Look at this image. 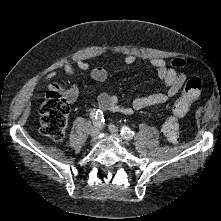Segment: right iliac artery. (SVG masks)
Instances as JSON below:
<instances>
[{
  "label": "right iliac artery",
  "mask_w": 221,
  "mask_h": 221,
  "mask_svg": "<svg viewBox=\"0 0 221 221\" xmlns=\"http://www.w3.org/2000/svg\"><path fill=\"white\" fill-rule=\"evenodd\" d=\"M90 117L93 120V124L95 126L101 127L105 121L103 112L99 109L98 110H96V109L91 110Z\"/></svg>",
  "instance_id": "obj_1"
}]
</instances>
